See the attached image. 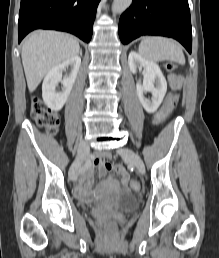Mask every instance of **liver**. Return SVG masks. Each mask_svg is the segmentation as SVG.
<instances>
[{"instance_id": "obj_1", "label": "liver", "mask_w": 219, "mask_h": 258, "mask_svg": "<svg viewBox=\"0 0 219 258\" xmlns=\"http://www.w3.org/2000/svg\"><path fill=\"white\" fill-rule=\"evenodd\" d=\"M79 49L78 41L64 33L39 30L28 35L21 57L29 91L33 92L51 69L76 56Z\"/></svg>"}]
</instances>
